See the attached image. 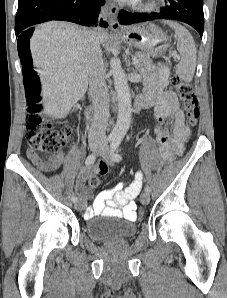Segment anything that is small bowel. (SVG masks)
I'll use <instances>...</instances> for the list:
<instances>
[{
  "label": "small bowel",
  "instance_id": "c3829d8e",
  "mask_svg": "<svg viewBox=\"0 0 227 298\" xmlns=\"http://www.w3.org/2000/svg\"><path fill=\"white\" fill-rule=\"evenodd\" d=\"M168 71L161 66L158 72L146 82L145 92L140 95L145 102V108L154 107L156 143L161 156L166 162H175L173 154H179L190 136V128L185 122V115L174 92L165 90ZM172 120V131L166 123ZM27 156L31 162L44 172H52L64 164L62 154L52 155L48 161L44 160L35 150L28 149ZM94 173L91 167L82 168L76 179V189L85 204L91 196V191L84 186V181ZM143 183V174L136 173L134 181L124 187L122 183L101 191L95 198L92 207L85 212V218L94 216H116L128 220H135V198L139 195Z\"/></svg>",
  "mask_w": 227,
  "mask_h": 298
}]
</instances>
